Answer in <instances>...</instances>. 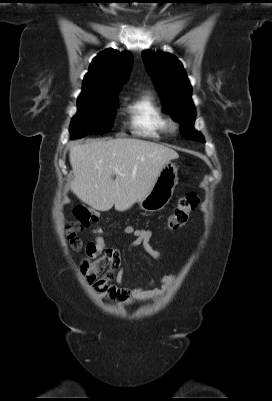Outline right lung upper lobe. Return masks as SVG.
<instances>
[{"label":"right lung upper lobe","mask_w":272,"mask_h":401,"mask_svg":"<svg viewBox=\"0 0 272 401\" xmlns=\"http://www.w3.org/2000/svg\"><path fill=\"white\" fill-rule=\"evenodd\" d=\"M131 65L132 54L128 51L120 53L110 48L100 52L89 66L79 98L117 92L126 81Z\"/></svg>","instance_id":"1"}]
</instances>
